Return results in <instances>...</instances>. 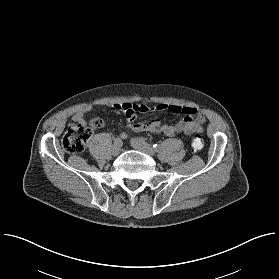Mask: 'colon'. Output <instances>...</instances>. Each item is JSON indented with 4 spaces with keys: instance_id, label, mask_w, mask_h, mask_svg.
<instances>
[{
    "instance_id": "obj_1",
    "label": "colon",
    "mask_w": 279,
    "mask_h": 279,
    "mask_svg": "<svg viewBox=\"0 0 279 279\" xmlns=\"http://www.w3.org/2000/svg\"><path fill=\"white\" fill-rule=\"evenodd\" d=\"M130 111L137 114L140 112L139 104H129ZM100 124V119L94 118L89 124L83 121L71 122L62 138V145L69 153H80L90 141L93 131ZM191 145L194 149H201L204 146V139L200 133H194L191 138Z\"/></svg>"
}]
</instances>
